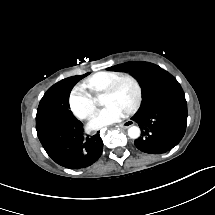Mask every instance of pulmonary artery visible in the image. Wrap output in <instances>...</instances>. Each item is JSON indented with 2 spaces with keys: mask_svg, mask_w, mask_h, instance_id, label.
Returning a JSON list of instances; mask_svg holds the SVG:
<instances>
[{
  "mask_svg": "<svg viewBox=\"0 0 215 215\" xmlns=\"http://www.w3.org/2000/svg\"><path fill=\"white\" fill-rule=\"evenodd\" d=\"M108 83H109V78L105 74H96L93 77V84L96 87H105L108 85Z\"/></svg>",
  "mask_w": 215,
  "mask_h": 215,
  "instance_id": "1",
  "label": "pulmonary artery"
}]
</instances>
